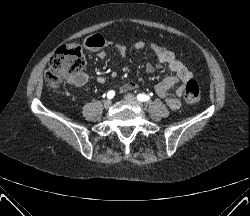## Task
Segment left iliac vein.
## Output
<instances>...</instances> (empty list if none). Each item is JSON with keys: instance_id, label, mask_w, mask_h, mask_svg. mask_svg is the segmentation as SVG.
Wrapping results in <instances>:
<instances>
[{"instance_id": "1", "label": "left iliac vein", "mask_w": 250, "mask_h": 216, "mask_svg": "<svg viewBox=\"0 0 250 216\" xmlns=\"http://www.w3.org/2000/svg\"><path fill=\"white\" fill-rule=\"evenodd\" d=\"M124 98L127 100V101H130V102H133L135 104H137L139 107H142L143 104L132 94H126L124 96Z\"/></svg>"}]
</instances>
